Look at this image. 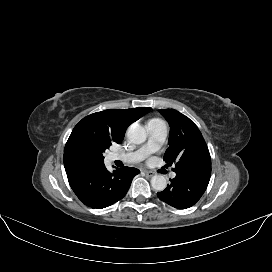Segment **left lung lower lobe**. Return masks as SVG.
Instances as JSON below:
<instances>
[{"label":"left lung lower lobe","instance_id":"obj_1","mask_svg":"<svg viewBox=\"0 0 272 272\" xmlns=\"http://www.w3.org/2000/svg\"><path fill=\"white\" fill-rule=\"evenodd\" d=\"M211 169L183 170L176 172L170 179L171 184L162 192L157 193L160 200L178 208L186 209L193 206L205 192L210 180Z\"/></svg>","mask_w":272,"mask_h":272}]
</instances>
